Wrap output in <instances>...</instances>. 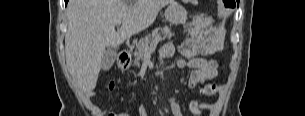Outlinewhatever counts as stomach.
<instances>
[{"label": "stomach", "mask_w": 305, "mask_h": 116, "mask_svg": "<svg viewBox=\"0 0 305 116\" xmlns=\"http://www.w3.org/2000/svg\"><path fill=\"white\" fill-rule=\"evenodd\" d=\"M165 18L175 25L184 24L187 20V11L182 5L174 1L165 10Z\"/></svg>", "instance_id": "0dacf381"}]
</instances>
